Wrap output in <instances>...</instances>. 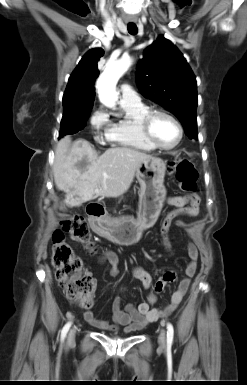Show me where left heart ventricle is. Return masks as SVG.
<instances>
[{"instance_id": "1", "label": "left heart ventricle", "mask_w": 247, "mask_h": 385, "mask_svg": "<svg viewBox=\"0 0 247 385\" xmlns=\"http://www.w3.org/2000/svg\"><path fill=\"white\" fill-rule=\"evenodd\" d=\"M152 132L156 141L163 146L173 145L179 136L178 129L172 120L165 116H157L152 123Z\"/></svg>"}]
</instances>
